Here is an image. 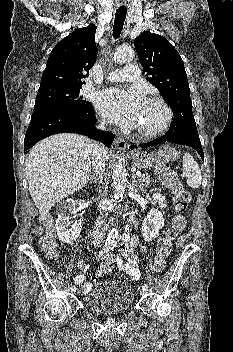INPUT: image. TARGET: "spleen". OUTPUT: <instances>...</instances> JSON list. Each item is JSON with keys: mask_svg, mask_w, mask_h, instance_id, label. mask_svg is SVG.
Wrapping results in <instances>:
<instances>
[{"mask_svg": "<svg viewBox=\"0 0 233 352\" xmlns=\"http://www.w3.org/2000/svg\"><path fill=\"white\" fill-rule=\"evenodd\" d=\"M183 176L187 178V185L191 188H198L201 185V171L193 156L185 153L183 156Z\"/></svg>", "mask_w": 233, "mask_h": 352, "instance_id": "1", "label": "spleen"}]
</instances>
